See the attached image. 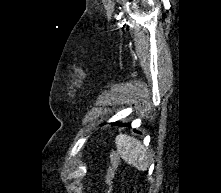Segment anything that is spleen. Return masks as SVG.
Here are the masks:
<instances>
[{
    "label": "spleen",
    "instance_id": "obj_1",
    "mask_svg": "<svg viewBox=\"0 0 221 193\" xmlns=\"http://www.w3.org/2000/svg\"><path fill=\"white\" fill-rule=\"evenodd\" d=\"M115 143L120 156L125 162L142 171L147 169L146 150L139 140L126 134H119Z\"/></svg>",
    "mask_w": 221,
    "mask_h": 193
}]
</instances>
